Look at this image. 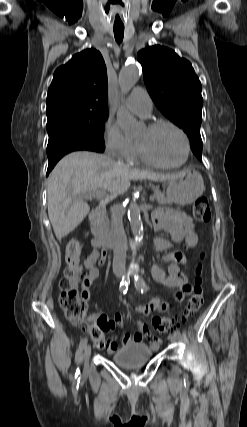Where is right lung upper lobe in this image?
Returning <instances> with one entry per match:
<instances>
[{
	"mask_svg": "<svg viewBox=\"0 0 247 427\" xmlns=\"http://www.w3.org/2000/svg\"><path fill=\"white\" fill-rule=\"evenodd\" d=\"M67 107H107V71L100 52L87 49L60 66L47 95V114Z\"/></svg>",
	"mask_w": 247,
	"mask_h": 427,
	"instance_id": "obj_1",
	"label": "right lung upper lobe"
}]
</instances>
